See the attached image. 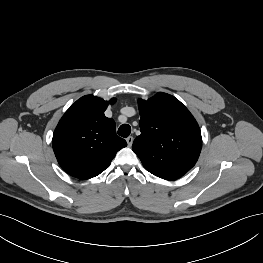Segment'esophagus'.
Returning a JSON list of instances; mask_svg holds the SVG:
<instances>
[{"label": "esophagus", "mask_w": 263, "mask_h": 263, "mask_svg": "<svg viewBox=\"0 0 263 263\" xmlns=\"http://www.w3.org/2000/svg\"><path fill=\"white\" fill-rule=\"evenodd\" d=\"M133 141H134V138L132 136H129V137L126 138V142H127L129 147L132 146Z\"/></svg>", "instance_id": "esophagus-1"}]
</instances>
